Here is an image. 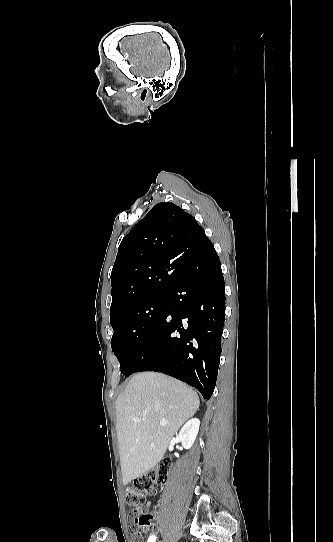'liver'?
Returning <instances> with one entry per match:
<instances>
[{"label": "liver", "instance_id": "liver-1", "mask_svg": "<svg viewBox=\"0 0 333 542\" xmlns=\"http://www.w3.org/2000/svg\"><path fill=\"white\" fill-rule=\"evenodd\" d=\"M199 406L198 394L179 380L155 372L131 378L116 400L123 486L163 460L171 438ZM142 418L146 422H139ZM160 422H167V426H160Z\"/></svg>", "mask_w": 333, "mask_h": 542}]
</instances>
